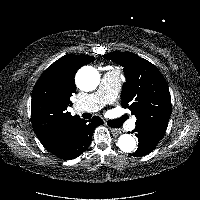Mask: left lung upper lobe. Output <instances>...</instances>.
I'll return each mask as SVG.
<instances>
[{"instance_id": "5c2ea615", "label": "left lung upper lobe", "mask_w": 200, "mask_h": 200, "mask_svg": "<svg viewBox=\"0 0 200 200\" xmlns=\"http://www.w3.org/2000/svg\"><path fill=\"white\" fill-rule=\"evenodd\" d=\"M103 57L124 67L121 105L135 115L136 127L162 137L171 115V97L163 75L155 65L133 53L115 51Z\"/></svg>"}]
</instances>
